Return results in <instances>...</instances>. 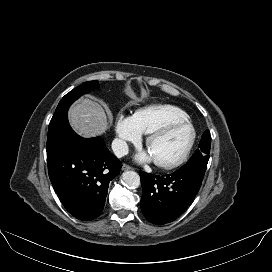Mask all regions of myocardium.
Segmentation results:
<instances>
[{
    "label": "myocardium",
    "mask_w": 272,
    "mask_h": 272,
    "mask_svg": "<svg viewBox=\"0 0 272 272\" xmlns=\"http://www.w3.org/2000/svg\"><path fill=\"white\" fill-rule=\"evenodd\" d=\"M181 125H184L189 128V130H190L189 140H188L184 150L182 151V153L178 157H176L175 159L168 161V162H160V161L155 160V164L157 166H159L160 168L173 169V168L178 167L179 165H181L182 163H184L187 160V158L189 157V155L192 151V148L195 144L196 129H195L193 123L189 119L174 120V121L168 122V123L162 125L161 127L153 130L151 133L148 134V136L146 138V147L149 150L150 145L152 144V142L155 139L166 134L171 129H173L177 126H181Z\"/></svg>",
    "instance_id": "obj_1"
}]
</instances>
